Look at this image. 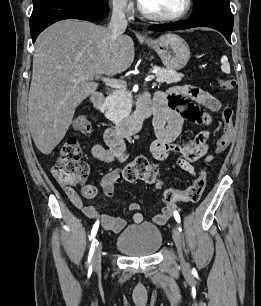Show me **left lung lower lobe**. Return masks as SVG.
Instances as JSON below:
<instances>
[{"instance_id":"left-lung-lower-lobe-1","label":"left lung lower lobe","mask_w":261,"mask_h":306,"mask_svg":"<svg viewBox=\"0 0 261 306\" xmlns=\"http://www.w3.org/2000/svg\"><path fill=\"white\" fill-rule=\"evenodd\" d=\"M194 27H210L220 33L231 42L233 29V16L219 18H191L190 20L178 21L167 24L152 25L149 27L153 31L183 30Z\"/></svg>"}]
</instances>
